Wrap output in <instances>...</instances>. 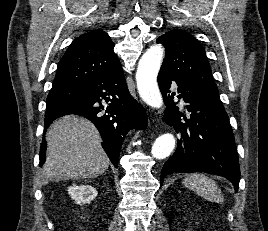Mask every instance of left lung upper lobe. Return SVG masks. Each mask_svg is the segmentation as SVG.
<instances>
[{"label":"left lung upper lobe","instance_id":"1","mask_svg":"<svg viewBox=\"0 0 268 231\" xmlns=\"http://www.w3.org/2000/svg\"><path fill=\"white\" fill-rule=\"evenodd\" d=\"M157 43L165 47L161 70L195 86L223 106L205 50L193 35L181 30H171L157 38Z\"/></svg>","mask_w":268,"mask_h":231}]
</instances>
